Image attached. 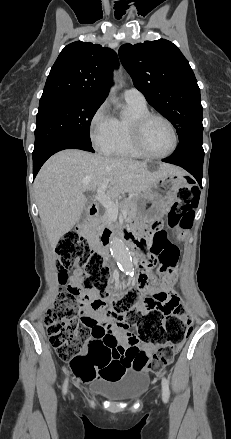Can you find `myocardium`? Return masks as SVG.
<instances>
[{
    "instance_id": "myocardium-1",
    "label": "myocardium",
    "mask_w": 231,
    "mask_h": 439,
    "mask_svg": "<svg viewBox=\"0 0 231 439\" xmlns=\"http://www.w3.org/2000/svg\"><path fill=\"white\" fill-rule=\"evenodd\" d=\"M152 119H160L164 121L171 129L173 135V146L172 148L165 154H153L151 153L145 146L143 140V133L146 125ZM132 142L135 149L144 157L150 159H164L171 156L177 149L179 144V136L177 129L174 123L165 115L160 113L148 112L133 121L132 130H131Z\"/></svg>"
}]
</instances>
